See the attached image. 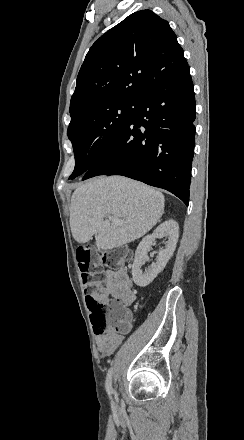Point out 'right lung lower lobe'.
I'll return each instance as SVG.
<instances>
[{
    "instance_id": "1",
    "label": "right lung lower lobe",
    "mask_w": 244,
    "mask_h": 440,
    "mask_svg": "<svg viewBox=\"0 0 244 440\" xmlns=\"http://www.w3.org/2000/svg\"><path fill=\"white\" fill-rule=\"evenodd\" d=\"M195 97L187 62L159 74L132 119L83 179L123 175L163 188L189 203Z\"/></svg>"
}]
</instances>
